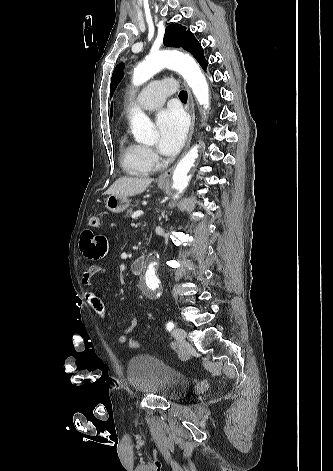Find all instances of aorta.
Returning <instances> with one entry per match:
<instances>
[{"mask_svg": "<svg viewBox=\"0 0 333 471\" xmlns=\"http://www.w3.org/2000/svg\"><path fill=\"white\" fill-rule=\"evenodd\" d=\"M170 68L177 71L192 89L197 101L204 106L209 107V87L204 74L196 61L189 56L176 54L171 51H160L150 54L143 62L137 65L132 76L134 86H139L163 68ZM131 130L137 142L153 143L156 140V131L151 120L141 111L135 110L131 117ZM198 157V146H193L189 152L179 161L173 173V188L177 191L174 199L187 187L190 180V170ZM158 263L150 260L145 267L144 283L145 291L149 295L159 288L160 281L156 276Z\"/></svg>", "mask_w": 333, "mask_h": 471, "instance_id": "762f6f07", "label": "aorta"}]
</instances>
